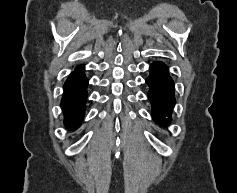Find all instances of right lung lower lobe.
<instances>
[{"mask_svg":"<svg viewBox=\"0 0 237 193\" xmlns=\"http://www.w3.org/2000/svg\"><path fill=\"white\" fill-rule=\"evenodd\" d=\"M87 84L82 65L76 67L64 84L61 106L64 112V123L72 130L80 126L84 117Z\"/></svg>","mask_w":237,"mask_h":193,"instance_id":"98d812e1","label":"right lung lower lobe"}]
</instances>
